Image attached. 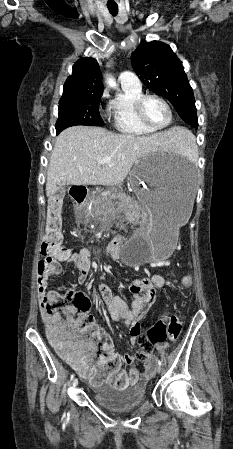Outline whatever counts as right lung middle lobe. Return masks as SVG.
<instances>
[{
  "mask_svg": "<svg viewBox=\"0 0 233 449\" xmlns=\"http://www.w3.org/2000/svg\"><path fill=\"white\" fill-rule=\"evenodd\" d=\"M101 96L102 93L62 96L58 107L57 133L74 125H104L99 114Z\"/></svg>",
  "mask_w": 233,
  "mask_h": 449,
  "instance_id": "dd1d6c3e",
  "label": "right lung middle lobe"
}]
</instances>
